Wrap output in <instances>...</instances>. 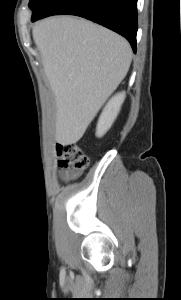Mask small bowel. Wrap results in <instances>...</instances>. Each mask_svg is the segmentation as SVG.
Masks as SVG:
<instances>
[{
  "instance_id": "obj_1",
  "label": "small bowel",
  "mask_w": 181,
  "mask_h": 300,
  "mask_svg": "<svg viewBox=\"0 0 181 300\" xmlns=\"http://www.w3.org/2000/svg\"><path fill=\"white\" fill-rule=\"evenodd\" d=\"M61 176L64 178V179H69V178H72L73 175L67 171V170H63L61 171Z\"/></svg>"
}]
</instances>
